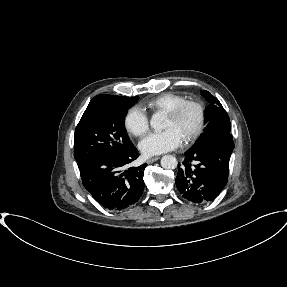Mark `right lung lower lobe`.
Instances as JSON below:
<instances>
[{"label": "right lung lower lobe", "instance_id": "right-lung-lower-lobe-1", "mask_svg": "<svg viewBox=\"0 0 287 287\" xmlns=\"http://www.w3.org/2000/svg\"><path fill=\"white\" fill-rule=\"evenodd\" d=\"M138 156L136 148L124 154H100L79 168L83 185L101 206L121 211L139 200L147 164L124 170Z\"/></svg>", "mask_w": 287, "mask_h": 287}]
</instances>
